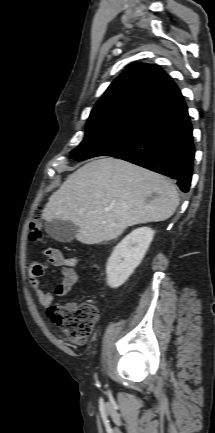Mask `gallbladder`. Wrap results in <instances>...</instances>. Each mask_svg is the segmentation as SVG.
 <instances>
[{"instance_id": "bac80fb5", "label": "gallbladder", "mask_w": 215, "mask_h": 433, "mask_svg": "<svg viewBox=\"0 0 215 433\" xmlns=\"http://www.w3.org/2000/svg\"><path fill=\"white\" fill-rule=\"evenodd\" d=\"M46 231L54 240L68 243L75 238L78 227L70 221L54 219L46 223Z\"/></svg>"}]
</instances>
